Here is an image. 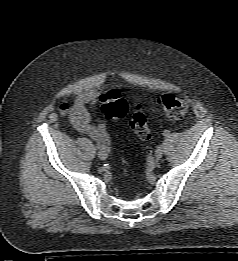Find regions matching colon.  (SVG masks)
Returning a JSON list of instances; mask_svg holds the SVG:
<instances>
[{
  "instance_id": "5ec220e1",
  "label": "colon",
  "mask_w": 238,
  "mask_h": 261,
  "mask_svg": "<svg viewBox=\"0 0 238 261\" xmlns=\"http://www.w3.org/2000/svg\"><path fill=\"white\" fill-rule=\"evenodd\" d=\"M156 102L165 114L174 120L183 118L188 110V102L173 94L161 95ZM100 103L102 113L107 119H122L130 111V127L134 134L144 140L152 136V130L147 123L142 108L136 106L130 109L126 100L117 90H111L102 94Z\"/></svg>"
}]
</instances>
